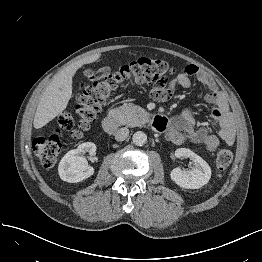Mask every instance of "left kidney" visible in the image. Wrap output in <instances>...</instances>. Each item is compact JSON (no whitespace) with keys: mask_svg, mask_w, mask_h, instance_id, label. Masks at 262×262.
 Masks as SVG:
<instances>
[{"mask_svg":"<svg viewBox=\"0 0 262 262\" xmlns=\"http://www.w3.org/2000/svg\"><path fill=\"white\" fill-rule=\"evenodd\" d=\"M177 158H190L194 168L189 171L175 168L171 171L170 177L178 186L186 189H198L206 185L211 178V168L208 163L199 155L186 148H179L175 151Z\"/></svg>","mask_w":262,"mask_h":262,"instance_id":"obj_1","label":"left kidney"}]
</instances>
